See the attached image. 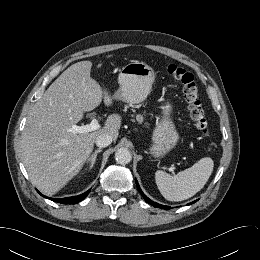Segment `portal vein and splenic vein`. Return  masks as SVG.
Returning <instances> with one entry per match:
<instances>
[{
  "instance_id": "portal-vein-and-splenic-vein-1",
  "label": "portal vein and splenic vein",
  "mask_w": 260,
  "mask_h": 260,
  "mask_svg": "<svg viewBox=\"0 0 260 260\" xmlns=\"http://www.w3.org/2000/svg\"><path fill=\"white\" fill-rule=\"evenodd\" d=\"M100 128L99 121L97 119H93L90 124L78 126L74 124L72 128L70 129L71 132L75 134H81V133H88L95 130H98Z\"/></svg>"
}]
</instances>
